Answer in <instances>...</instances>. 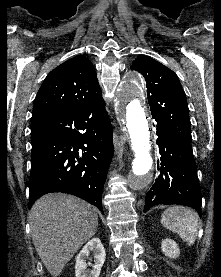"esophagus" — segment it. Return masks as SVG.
<instances>
[{"mask_svg": "<svg viewBox=\"0 0 221 277\" xmlns=\"http://www.w3.org/2000/svg\"><path fill=\"white\" fill-rule=\"evenodd\" d=\"M114 144H115V149L118 152L124 144V138L119 137L117 134H115L114 135Z\"/></svg>", "mask_w": 221, "mask_h": 277, "instance_id": "obj_1", "label": "esophagus"}]
</instances>
